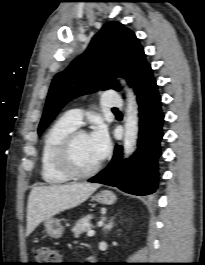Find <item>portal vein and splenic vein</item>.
<instances>
[{"label": "portal vein and splenic vein", "instance_id": "portal-vein-and-splenic-vein-1", "mask_svg": "<svg viewBox=\"0 0 205 265\" xmlns=\"http://www.w3.org/2000/svg\"><path fill=\"white\" fill-rule=\"evenodd\" d=\"M95 234V231L94 230H88L87 232V236L91 237Z\"/></svg>", "mask_w": 205, "mask_h": 265}]
</instances>
